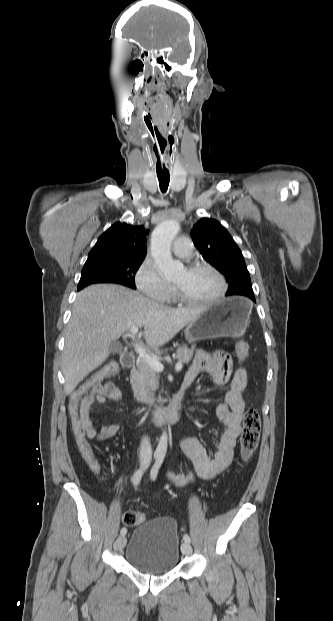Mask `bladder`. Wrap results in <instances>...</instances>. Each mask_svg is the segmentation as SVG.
Listing matches in <instances>:
<instances>
[{
	"mask_svg": "<svg viewBox=\"0 0 333 621\" xmlns=\"http://www.w3.org/2000/svg\"><path fill=\"white\" fill-rule=\"evenodd\" d=\"M180 556L177 522L170 517H154L132 532L125 558L133 568L150 574L172 571Z\"/></svg>",
	"mask_w": 333,
	"mask_h": 621,
	"instance_id": "31cf9c89",
	"label": "bladder"
}]
</instances>
